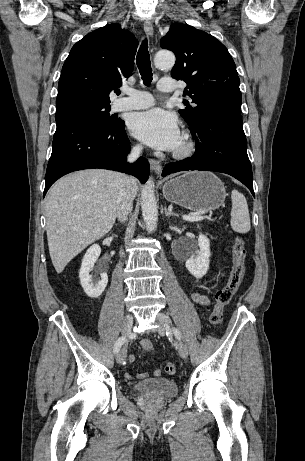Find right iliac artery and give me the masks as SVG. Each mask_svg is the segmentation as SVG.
I'll list each match as a JSON object with an SVG mask.
<instances>
[{
  "label": "right iliac artery",
  "mask_w": 305,
  "mask_h": 461,
  "mask_svg": "<svg viewBox=\"0 0 305 461\" xmlns=\"http://www.w3.org/2000/svg\"><path fill=\"white\" fill-rule=\"evenodd\" d=\"M126 341V337L125 336H122V337H119L117 339V341L115 342V345H114V353H118L121 346L124 344V342Z\"/></svg>",
  "instance_id": "right-iliac-artery-1"
}]
</instances>
